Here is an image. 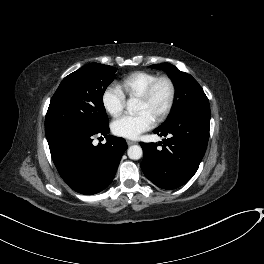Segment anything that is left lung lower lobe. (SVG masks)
<instances>
[{"mask_svg":"<svg viewBox=\"0 0 264 264\" xmlns=\"http://www.w3.org/2000/svg\"><path fill=\"white\" fill-rule=\"evenodd\" d=\"M210 125V108L195 109L175 121L156 128L158 143H140L143 149L141 168L145 176L163 189H176L196 173L205 154Z\"/></svg>","mask_w":264,"mask_h":264,"instance_id":"1","label":"left lung lower lobe"}]
</instances>
